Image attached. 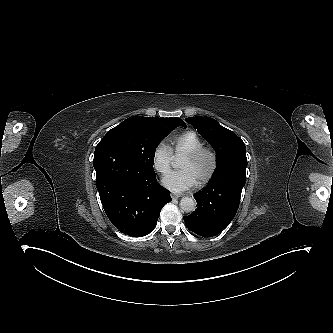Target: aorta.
Returning a JSON list of instances; mask_svg holds the SVG:
<instances>
[{"mask_svg": "<svg viewBox=\"0 0 333 333\" xmlns=\"http://www.w3.org/2000/svg\"><path fill=\"white\" fill-rule=\"evenodd\" d=\"M180 208L186 213L193 212L196 209V201L191 197H183L180 201Z\"/></svg>", "mask_w": 333, "mask_h": 333, "instance_id": "obj_1", "label": "aorta"}]
</instances>
